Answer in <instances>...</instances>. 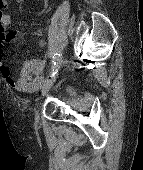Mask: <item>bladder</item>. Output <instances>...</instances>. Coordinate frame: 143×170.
<instances>
[{"label":"bladder","mask_w":143,"mask_h":170,"mask_svg":"<svg viewBox=\"0 0 143 170\" xmlns=\"http://www.w3.org/2000/svg\"><path fill=\"white\" fill-rule=\"evenodd\" d=\"M62 91H63V93H64L65 95H68V94H69V91H68V89H67L66 87H64Z\"/></svg>","instance_id":"bladder-1"}]
</instances>
